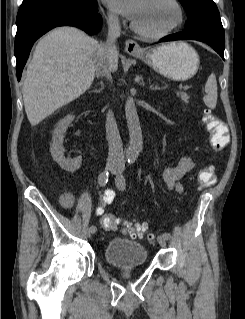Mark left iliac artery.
<instances>
[{
	"label": "left iliac artery",
	"mask_w": 245,
	"mask_h": 319,
	"mask_svg": "<svg viewBox=\"0 0 245 319\" xmlns=\"http://www.w3.org/2000/svg\"><path fill=\"white\" fill-rule=\"evenodd\" d=\"M134 160L133 159H130L128 160V163L129 165L133 164ZM126 188V183H125V179L121 182V189H125ZM163 236L166 238V239H170L171 238V234L168 233V232H165L163 234Z\"/></svg>",
	"instance_id": "1"
}]
</instances>
